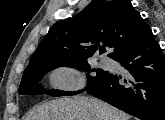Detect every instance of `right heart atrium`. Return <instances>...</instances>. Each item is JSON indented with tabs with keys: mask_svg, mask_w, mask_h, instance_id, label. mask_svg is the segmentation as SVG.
<instances>
[{
	"mask_svg": "<svg viewBox=\"0 0 165 120\" xmlns=\"http://www.w3.org/2000/svg\"><path fill=\"white\" fill-rule=\"evenodd\" d=\"M51 82L54 86L67 90L78 89L83 83L81 77L71 68L56 70L51 76Z\"/></svg>",
	"mask_w": 165,
	"mask_h": 120,
	"instance_id": "right-heart-atrium-1",
	"label": "right heart atrium"
}]
</instances>
